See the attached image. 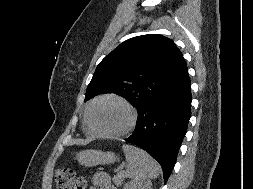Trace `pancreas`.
<instances>
[{"label": "pancreas", "instance_id": "cf45deb5", "mask_svg": "<svg viewBox=\"0 0 253 189\" xmlns=\"http://www.w3.org/2000/svg\"><path fill=\"white\" fill-rule=\"evenodd\" d=\"M125 178L123 171H117L116 175L113 176L112 180L116 186H121Z\"/></svg>", "mask_w": 253, "mask_h": 189}]
</instances>
